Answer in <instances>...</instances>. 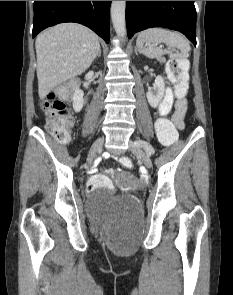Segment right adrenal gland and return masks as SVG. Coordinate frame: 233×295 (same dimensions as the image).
I'll use <instances>...</instances> for the list:
<instances>
[{
	"mask_svg": "<svg viewBox=\"0 0 233 295\" xmlns=\"http://www.w3.org/2000/svg\"><path fill=\"white\" fill-rule=\"evenodd\" d=\"M101 56V47L99 48V52L97 54V57H100Z\"/></svg>",
	"mask_w": 233,
	"mask_h": 295,
	"instance_id": "1",
	"label": "right adrenal gland"
}]
</instances>
